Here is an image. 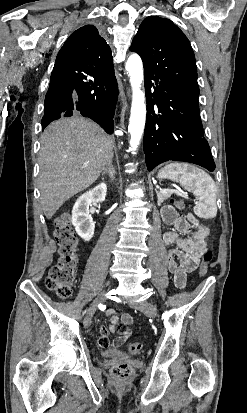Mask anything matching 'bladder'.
<instances>
[{"mask_svg": "<svg viewBox=\"0 0 247 413\" xmlns=\"http://www.w3.org/2000/svg\"><path fill=\"white\" fill-rule=\"evenodd\" d=\"M100 353L103 357H108V358H121V359L126 358V352L121 351V350H105V351H100Z\"/></svg>", "mask_w": 247, "mask_h": 413, "instance_id": "obj_1", "label": "bladder"}]
</instances>
